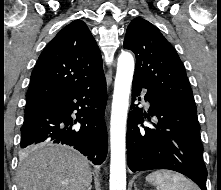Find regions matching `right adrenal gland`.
<instances>
[{
	"label": "right adrenal gland",
	"mask_w": 221,
	"mask_h": 190,
	"mask_svg": "<svg viewBox=\"0 0 221 190\" xmlns=\"http://www.w3.org/2000/svg\"><path fill=\"white\" fill-rule=\"evenodd\" d=\"M91 189H92V185H90L87 190H91Z\"/></svg>",
	"instance_id": "1"
}]
</instances>
